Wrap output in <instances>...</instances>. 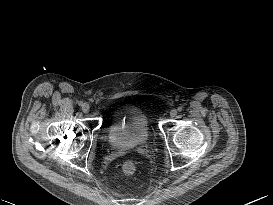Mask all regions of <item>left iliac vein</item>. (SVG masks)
<instances>
[{"label":"left iliac vein","mask_w":273,"mask_h":205,"mask_svg":"<svg viewBox=\"0 0 273 205\" xmlns=\"http://www.w3.org/2000/svg\"><path fill=\"white\" fill-rule=\"evenodd\" d=\"M170 116H171V117H176V116H177V110H176V109H172V110L170 111Z\"/></svg>","instance_id":"1"}]
</instances>
